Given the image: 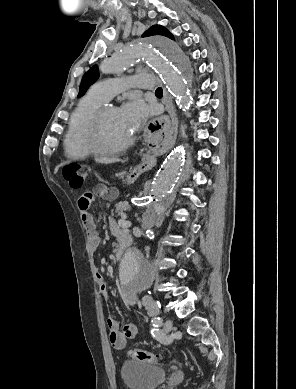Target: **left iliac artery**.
Returning <instances> with one entry per match:
<instances>
[{
  "instance_id": "44dca946",
  "label": "left iliac artery",
  "mask_w": 296,
  "mask_h": 389,
  "mask_svg": "<svg viewBox=\"0 0 296 389\" xmlns=\"http://www.w3.org/2000/svg\"><path fill=\"white\" fill-rule=\"evenodd\" d=\"M151 322H152V324H153L154 327L162 326V323H163L162 319H161L160 317H157V316L153 317L152 320H151ZM157 330H158V329H153V330H152L153 336H157V335H158Z\"/></svg>"
}]
</instances>
